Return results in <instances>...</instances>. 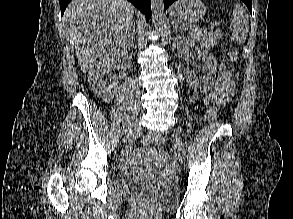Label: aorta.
I'll use <instances>...</instances> for the list:
<instances>
[{"label": "aorta", "mask_w": 293, "mask_h": 219, "mask_svg": "<svg viewBox=\"0 0 293 219\" xmlns=\"http://www.w3.org/2000/svg\"><path fill=\"white\" fill-rule=\"evenodd\" d=\"M152 21L159 31H163L166 26L167 18L164 13L163 0H151Z\"/></svg>", "instance_id": "1"}]
</instances>
